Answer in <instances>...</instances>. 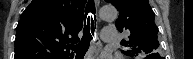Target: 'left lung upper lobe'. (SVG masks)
<instances>
[{
    "instance_id": "left-lung-upper-lobe-1",
    "label": "left lung upper lobe",
    "mask_w": 193,
    "mask_h": 59,
    "mask_svg": "<svg viewBox=\"0 0 193 59\" xmlns=\"http://www.w3.org/2000/svg\"><path fill=\"white\" fill-rule=\"evenodd\" d=\"M106 2L114 5L119 11L115 23L117 29L120 32H130L128 39L121 41V45L127 50L122 52L129 56L156 53L159 47L158 28L154 23L155 14L148 0H106Z\"/></svg>"
}]
</instances>
